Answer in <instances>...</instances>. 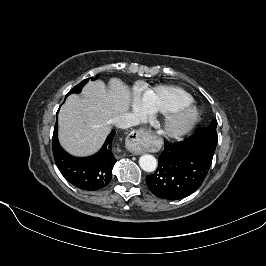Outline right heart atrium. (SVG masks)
Returning <instances> with one entry per match:
<instances>
[{"label": "right heart atrium", "mask_w": 266, "mask_h": 266, "mask_svg": "<svg viewBox=\"0 0 266 266\" xmlns=\"http://www.w3.org/2000/svg\"><path fill=\"white\" fill-rule=\"evenodd\" d=\"M134 110H135V112L138 114V115H144L145 114V111H144V109L142 108V106L141 105H139L138 103H135L134 104Z\"/></svg>", "instance_id": "1"}]
</instances>
